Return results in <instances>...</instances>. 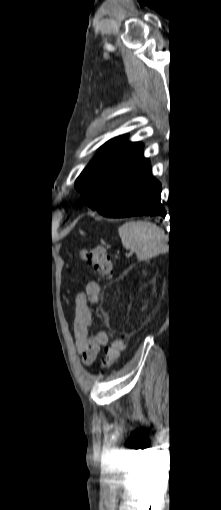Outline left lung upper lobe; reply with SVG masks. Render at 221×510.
Instances as JSON below:
<instances>
[{"label":"left lung upper lobe","mask_w":221,"mask_h":510,"mask_svg":"<svg viewBox=\"0 0 221 510\" xmlns=\"http://www.w3.org/2000/svg\"><path fill=\"white\" fill-rule=\"evenodd\" d=\"M142 146L129 142L126 135L101 146L75 182L82 202L94 210L106 207L150 164L143 157Z\"/></svg>","instance_id":"left-lung-upper-lobe-1"}]
</instances>
